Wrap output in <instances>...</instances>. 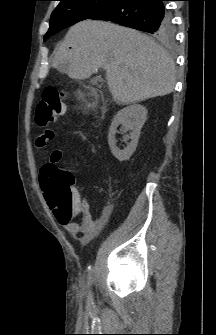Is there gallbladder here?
Masks as SVG:
<instances>
[{"mask_svg":"<svg viewBox=\"0 0 216 335\" xmlns=\"http://www.w3.org/2000/svg\"><path fill=\"white\" fill-rule=\"evenodd\" d=\"M60 71H65V67H60V68H58Z\"/></svg>","mask_w":216,"mask_h":335,"instance_id":"obj_1","label":"gallbladder"}]
</instances>
